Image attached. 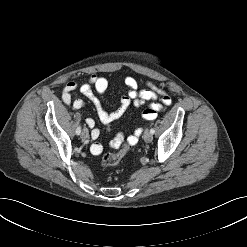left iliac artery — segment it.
Here are the masks:
<instances>
[{"label":"left iliac artery","instance_id":"1","mask_svg":"<svg viewBox=\"0 0 247 247\" xmlns=\"http://www.w3.org/2000/svg\"><path fill=\"white\" fill-rule=\"evenodd\" d=\"M150 132H151L152 134H154V133H155L154 128H151V129H150Z\"/></svg>","mask_w":247,"mask_h":247}]
</instances>
